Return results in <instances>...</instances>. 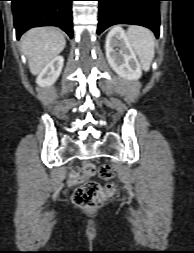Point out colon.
Returning a JSON list of instances; mask_svg holds the SVG:
<instances>
[{
  "mask_svg": "<svg viewBox=\"0 0 194 253\" xmlns=\"http://www.w3.org/2000/svg\"><path fill=\"white\" fill-rule=\"evenodd\" d=\"M96 171L100 178L109 180L113 178L114 172L108 165H101L98 169L92 164H84L82 168V177L88 179L92 177ZM115 191V186L108 183L101 186L95 182H87L77 187L73 192V202L78 207L84 209H95L100 207Z\"/></svg>",
  "mask_w": 194,
  "mask_h": 253,
  "instance_id": "5ec220e1",
  "label": "colon"
}]
</instances>
